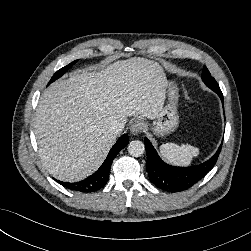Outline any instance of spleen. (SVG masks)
I'll return each mask as SVG.
<instances>
[{
	"label": "spleen",
	"mask_w": 251,
	"mask_h": 251,
	"mask_svg": "<svg viewBox=\"0 0 251 251\" xmlns=\"http://www.w3.org/2000/svg\"><path fill=\"white\" fill-rule=\"evenodd\" d=\"M161 156L174 165L188 166L192 158L199 154V149L188 144L166 143L160 147Z\"/></svg>",
	"instance_id": "1"
}]
</instances>
